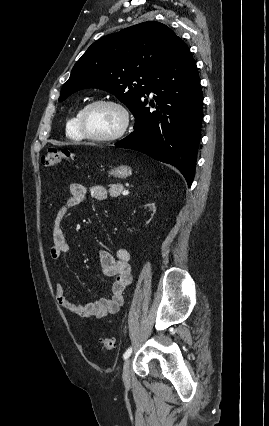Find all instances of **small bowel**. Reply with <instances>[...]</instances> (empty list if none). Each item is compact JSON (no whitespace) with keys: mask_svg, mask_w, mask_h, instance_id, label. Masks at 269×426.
<instances>
[{"mask_svg":"<svg viewBox=\"0 0 269 426\" xmlns=\"http://www.w3.org/2000/svg\"><path fill=\"white\" fill-rule=\"evenodd\" d=\"M89 193L96 201H103L107 198V190L101 185L90 187ZM86 194L87 188L84 185L71 184L69 196L57 212L52 230L53 245L50 249V255L55 261H60L70 251V245L62 228L63 220L70 210L82 203ZM99 259L102 274L113 278L110 295L100 297L93 302L79 303L68 298L64 284L57 282L55 284V298L60 308L69 313L91 319H100L120 311L124 304L123 292L132 281L130 252L126 248H119L115 253L102 249Z\"/></svg>","mask_w":269,"mask_h":426,"instance_id":"obj_1","label":"small bowel"}]
</instances>
